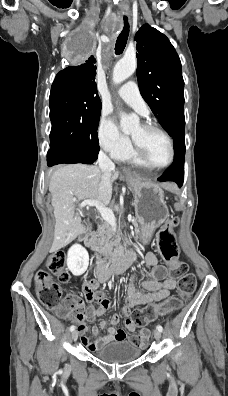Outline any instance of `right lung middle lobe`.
Segmentation results:
<instances>
[{"mask_svg":"<svg viewBox=\"0 0 228 396\" xmlns=\"http://www.w3.org/2000/svg\"><path fill=\"white\" fill-rule=\"evenodd\" d=\"M92 49V41L81 35L74 55L84 59ZM49 105L50 150L59 151L79 163L92 164L99 152L100 98L82 94L70 86L52 84Z\"/></svg>","mask_w":228,"mask_h":396,"instance_id":"right-lung-middle-lobe-1","label":"right lung middle lobe"}]
</instances>
